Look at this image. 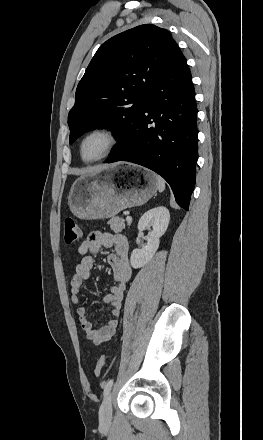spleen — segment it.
<instances>
[{
	"instance_id": "spleen-1",
	"label": "spleen",
	"mask_w": 263,
	"mask_h": 440,
	"mask_svg": "<svg viewBox=\"0 0 263 440\" xmlns=\"http://www.w3.org/2000/svg\"><path fill=\"white\" fill-rule=\"evenodd\" d=\"M156 179H157V189L159 192H163L165 190V181L162 177H160L159 175H156Z\"/></svg>"
}]
</instances>
